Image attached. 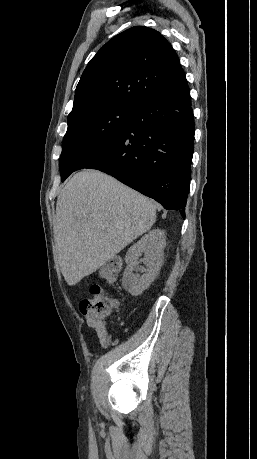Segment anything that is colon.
Returning a JSON list of instances; mask_svg holds the SVG:
<instances>
[{"label": "colon", "instance_id": "1", "mask_svg": "<svg viewBox=\"0 0 257 459\" xmlns=\"http://www.w3.org/2000/svg\"><path fill=\"white\" fill-rule=\"evenodd\" d=\"M121 270V261L111 259L100 269V275L106 280H113ZM91 297L80 302V312L91 315L97 320H103L110 315L114 307V299L108 297L100 285L94 284L90 288Z\"/></svg>", "mask_w": 257, "mask_h": 459}]
</instances>
